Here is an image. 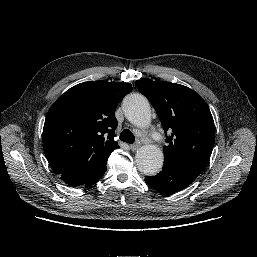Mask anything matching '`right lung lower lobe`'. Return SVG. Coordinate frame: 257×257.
Wrapping results in <instances>:
<instances>
[{
	"label": "right lung lower lobe",
	"mask_w": 257,
	"mask_h": 257,
	"mask_svg": "<svg viewBox=\"0 0 257 257\" xmlns=\"http://www.w3.org/2000/svg\"><path fill=\"white\" fill-rule=\"evenodd\" d=\"M106 171V167L103 169V171L101 173H99L98 175H96L95 177L91 178L88 182H86L84 185L85 186H91L93 184H95L96 182L99 181V179L103 176L104 172Z\"/></svg>",
	"instance_id": "98d812e1"
}]
</instances>
